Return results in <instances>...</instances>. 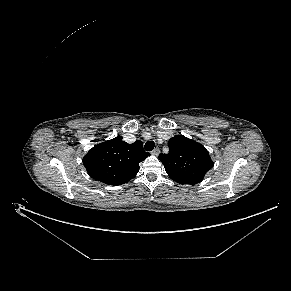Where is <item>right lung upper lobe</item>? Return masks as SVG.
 Returning a JSON list of instances; mask_svg holds the SVG:
<instances>
[{
  "label": "right lung upper lobe",
  "instance_id": "cb5924a9",
  "mask_svg": "<svg viewBox=\"0 0 291 291\" xmlns=\"http://www.w3.org/2000/svg\"><path fill=\"white\" fill-rule=\"evenodd\" d=\"M149 155L140 140L128 144L117 136L90 149L83 164L93 179L108 185H121L138 173L139 163Z\"/></svg>",
  "mask_w": 291,
  "mask_h": 291
}]
</instances>
